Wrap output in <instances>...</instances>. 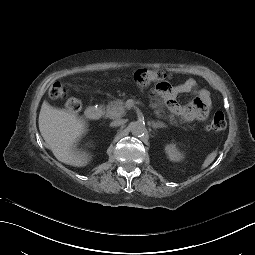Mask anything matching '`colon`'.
Segmentation results:
<instances>
[{
  "instance_id": "5ec220e1",
  "label": "colon",
  "mask_w": 255,
  "mask_h": 255,
  "mask_svg": "<svg viewBox=\"0 0 255 255\" xmlns=\"http://www.w3.org/2000/svg\"><path fill=\"white\" fill-rule=\"evenodd\" d=\"M134 83L138 86L144 87L155 83L157 89L164 90L168 86V75L159 70L139 69L132 75ZM65 87L56 82L49 88V96L53 99L65 96ZM66 108L71 112H79L82 104L79 99L71 97L66 101ZM227 122L223 112L217 111L214 113L208 129L214 132L223 131L226 128Z\"/></svg>"
}]
</instances>
